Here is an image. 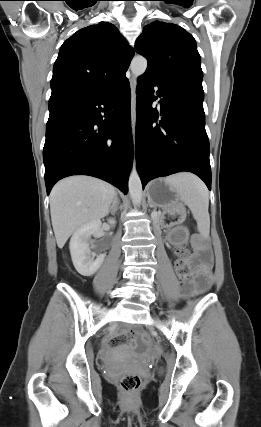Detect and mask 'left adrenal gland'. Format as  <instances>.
Returning a JSON list of instances; mask_svg holds the SVG:
<instances>
[{"mask_svg": "<svg viewBox=\"0 0 261 427\" xmlns=\"http://www.w3.org/2000/svg\"><path fill=\"white\" fill-rule=\"evenodd\" d=\"M149 206H150V208H152V207H153V205H152V204H150V203H149Z\"/></svg>", "mask_w": 261, "mask_h": 427, "instance_id": "obj_1", "label": "left adrenal gland"}]
</instances>
